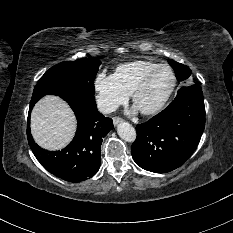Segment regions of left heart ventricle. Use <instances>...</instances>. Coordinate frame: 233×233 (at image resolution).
Wrapping results in <instances>:
<instances>
[{
	"label": "left heart ventricle",
	"instance_id": "left-heart-ventricle-1",
	"mask_svg": "<svg viewBox=\"0 0 233 233\" xmlns=\"http://www.w3.org/2000/svg\"><path fill=\"white\" fill-rule=\"evenodd\" d=\"M172 84V75L167 69L158 70L149 80L146 87L136 98L135 106L138 110L155 107L166 95Z\"/></svg>",
	"mask_w": 233,
	"mask_h": 233
}]
</instances>
